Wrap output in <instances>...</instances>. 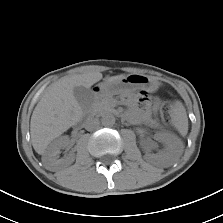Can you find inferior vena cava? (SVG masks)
Here are the masks:
<instances>
[{"label": "inferior vena cava", "instance_id": "602c4592", "mask_svg": "<svg viewBox=\"0 0 223 223\" xmlns=\"http://www.w3.org/2000/svg\"><path fill=\"white\" fill-rule=\"evenodd\" d=\"M100 121L98 118H88L85 122V128L88 131L95 130L99 127Z\"/></svg>", "mask_w": 223, "mask_h": 223}]
</instances>
